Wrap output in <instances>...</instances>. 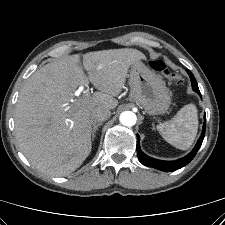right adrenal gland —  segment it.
Returning <instances> with one entry per match:
<instances>
[{"mask_svg": "<svg viewBox=\"0 0 225 225\" xmlns=\"http://www.w3.org/2000/svg\"><path fill=\"white\" fill-rule=\"evenodd\" d=\"M102 125V122L94 123L92 128V140L95 139V133L98 130V128Z\"/></svg>", "mask_w": 225, "mask_h": 225, "instance_id": "1", "label": "right adrenal gland"}]
</instances>
